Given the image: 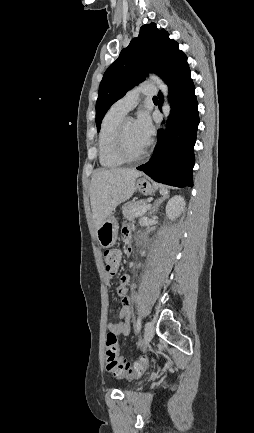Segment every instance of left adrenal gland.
<instances>
[{"instance_id": "a2214340", "label": "left adrenal gland", "mask_w": 254, "mask_h": 433, "mask_svg": "<svg viewBox=\"0 0 254 433\" xmlns=\"http://www.w3.org/2000/svg\"><path fill=\"white\" fill-rule=\"evenodd\" d=\"M167 198H169V195H163L162 197H160V198H157L155 201H154V204H153V206H152V208L150 209V214H153V213H155L157 210H158V206L165 200V199H167Z\"/></svg>"}]
</instances>
